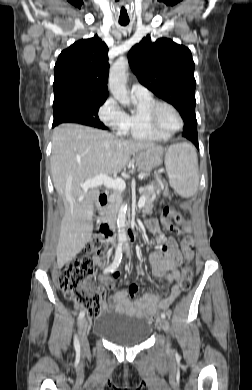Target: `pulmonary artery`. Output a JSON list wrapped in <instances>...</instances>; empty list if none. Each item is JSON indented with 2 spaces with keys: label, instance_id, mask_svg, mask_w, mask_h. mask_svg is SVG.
<instances>
[{
  "label": "pulmonary artery",
  "instance_id": "1",
  "mask_svg": "<svg viewBox=\"0 0 252 390\" xmlns=\"http://www.w3.org/2000/svg\"><path fill=\"white\" fill-rule=\"evenodd\" d=\"M131 93L134 97H148L151 95L150 91L140 83H133L131 86Z\"/></svg>",
  "mask_w": 252,
  "mask_h": 390
}]
</instances>
